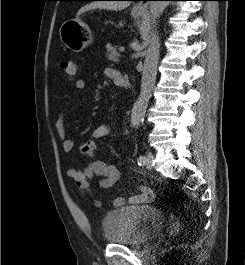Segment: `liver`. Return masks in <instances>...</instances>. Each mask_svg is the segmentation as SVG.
Segmentation results:
<instances>
[{
	"label": "liver",
	"instance_id": "6515ba94",
	"mask_svg": "<svg viewBox=\"0 0 245 265\" xmlns=\"http://www.w3.org/2000/svg\"><path fill=\"white\" fill-rule=\"evenodd\" d=\"M130 5L128 1H98L85 5L82 7L77 16L92 9H108V10H121L125 9Z\"/></svg>",
	"mask_w": 245,
	"mask_h": 265
}]
</instances>
